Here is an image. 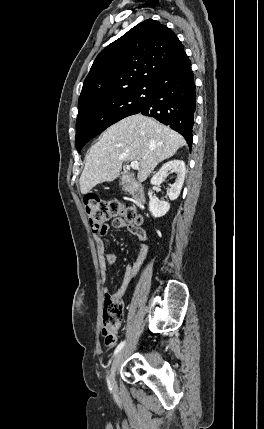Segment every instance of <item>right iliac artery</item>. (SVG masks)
Instances as JSON below:
<instances>
[{
	"instance_id": "82829eb1",
	"label": "right iliac artery",
	"mask_w": 264,
	"mask_h": 429,
	"mask_svg": "<svg viewBox=\"0 0 264 429\" xmlns=\"http://www.w3.org/2000/svg\"><path fill=\"white\" fill-rule=\"evenodd\" d=\"M124 345H125V341H122V342H121V343L116 347V349H115V351H114L113 356H115L118 352H120V351H121V349L124 347ZM110 362H111V361H109V365H110ZM107 382H108V385H109V387H110L111 385H110V382H109L108 378H107Z\"/></svg>"
}]
</instances>
